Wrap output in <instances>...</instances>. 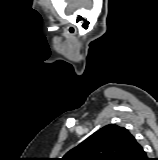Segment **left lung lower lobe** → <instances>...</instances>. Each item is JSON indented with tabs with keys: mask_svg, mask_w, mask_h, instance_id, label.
<instances>
[{
	"mask_svg": "<svg viewBox=\"0 0 158 160\" xmlns=\"http://www.w3.org/2000/svg\"><path fill=\"white\" fill-rule=\"evenodd\" d=\"M128 160H148L143 147L136 141Z\"/></svg>",
	"mask_w": 158,
	"mask_h": 160,
	"instance_id": "left-lung-lower-lobe-1",
	"label": "left lung lower lobe"
}]
</instances>
